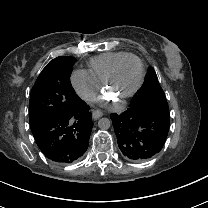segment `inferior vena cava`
I'll return each mask as SVG.
<instances>
[{
	"mask_svg": "<svg viewBox=\"0 0 208 208\" xmlns=\"http://www.w3.org/2000/svg\"><path fill=\"white\" fill-rule=\"evenodd\" d=\"M94 97V94L91 92L85 93L81 98L85 101H90Z\"/></svg>",
	"mask_w": 208,
	"mask_h": 208,
	"instance_id": "inferior-vena-cava-1",
	"label": "inferior vena cava"
}]
</instances>
